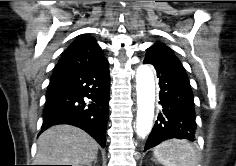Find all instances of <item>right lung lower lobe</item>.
Wrapping results in <instances>:
<instances>
[{"label":"right lung lower lobe","mask_w":236,"mask_h":166,"mask_svg":"<svg viewBox=\"0 0 236 166\" xmlns=\"http://www.w3.org/2000/svg\"><path fill=\"white\" fill-rule=\"evenodd\" d=\"M109 88L108 61L89 70L54 72L47 89L40 133L53 125L70 124L85 130L104 147Z\"/></svg>","instance_id":"98d812e1"}]
</instances>
